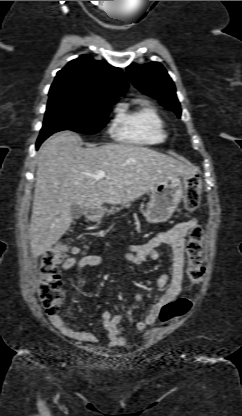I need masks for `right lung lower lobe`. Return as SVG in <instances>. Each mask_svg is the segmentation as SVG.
Returning <instances> with one entry per match:
<instances>
[{
    "instance_id": "obj_1",
    "label": "right lung lower lobe",
    "mask_w": 242,
    "mask_h": 416,
    "mask_svg": "<svg viewBox=\"0 0 242 416\" xmlns=\"http://www.w3.org/2000/svg\"><path fill=\"white\" fill-rule=\"evenodd\" d=\"M43 141L44 140L38 139L37 144H36V148H38Z\"/></svg>"
}]
</instances>
